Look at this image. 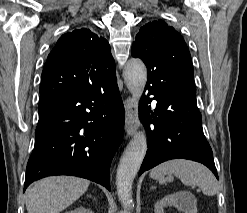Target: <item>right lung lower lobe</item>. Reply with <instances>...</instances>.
<instances>
[{"label":"right lung lower lobe","instance_id":"obj_1","mask_svg":"<svg viewBox=\"0 0 247 213\" xmlns=\"http://www.w3.org/2000/svg\"><path fill=\"white\" fill-rule=\"evenodd\" d=\"M38 111L24 191L33 181L52 175L83 177L110 190V165L125 119L116 76L59 92L40 101Z\"/></svg>","mask_w":247,"mask_h":213}]
</instances>
